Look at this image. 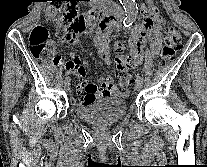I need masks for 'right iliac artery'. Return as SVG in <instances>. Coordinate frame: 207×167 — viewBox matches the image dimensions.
<instances>
[{"mask_svg":"<svg viewBox=\"0 0 207 167\" xmlns=\"http://www.w3.org/2000/svg\"><path fill=\"white\" fill-rule=\"evenodd\" d=\"M67 82H70V78H69V77H67V78L65 79V83H67Z\"/></svg>","mask_w":207,"mask_h":167,"instance_id":"1","label":"right iliac artery"}]
</instances>
